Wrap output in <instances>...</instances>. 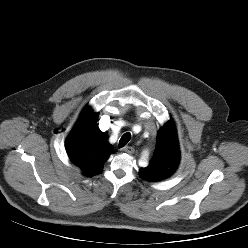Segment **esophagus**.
Masks as SVG:
<instances>
[{
    "label": "esophagus",
    "mask_w": 248,
    "mask_h": 248,
    "mask_svg": "<svg viewBox=\"0 0 248 248\" xmlns=\"http://www.w3.org/2000/svg\"><path fill=\"white\" fill-rule=\"evenodd\" d=\"M123 151L128 153V154H133L134 153V148L131 146H126L123 148Z\"/></svg>",
    "instance_id": "obj_1"
}]
</instances>
